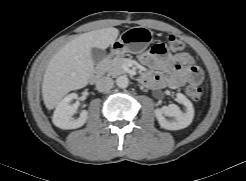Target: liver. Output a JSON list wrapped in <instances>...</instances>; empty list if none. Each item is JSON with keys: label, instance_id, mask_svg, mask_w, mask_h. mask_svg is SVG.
<instances>
[{"label": "liver", "instance_id": "liver-1", "mask_svg": "<svg viewBox=\"0 0 246 181\" xmlns=\"http://www.w3.org/2000/svg\"><path fill=\"white\" fill-rule=\"evenodd\" d=\"M119 30L109 27L77 36L64 45L50 60L44 73L42 97L48 110L54 109L70 91L84 88L93 71L91 48H108Z\"/></svg>", "mask_w": 246, "mask_h": 181}]
</instances>
